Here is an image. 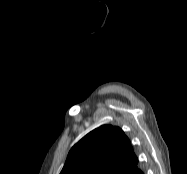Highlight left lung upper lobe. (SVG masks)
I'll return each instance as SVG.
<instances>
[{"label":"left lung upper lobe","instance_id":"obj_1","mask_svg":"<svg viewBox=\"0 0 187 174\" xmlns=\"http://www.w3.org/2000/svg\"><path fill=\"white\" fill-rule=\"evenodd\" d=\"M137 164L124 132L104 125L72 147L60 174H137L141 171Z\"/></svg>","mask_w":187,"mask_h":174}]
</instances>
